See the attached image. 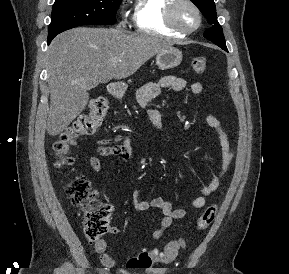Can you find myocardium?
<instances>
[{"instance_id":"myocardium-1","label":"myocardium","mask_w":289,"mask_h":274,"mask_svg":"<svg viewBox=\"0 0 289 274\" xmlns=\"http://www.w3.org/2000/svg\"><path fill=\"white\" fill-rule=\"evenodd\" d=\"M180 4H187L194 10L197 16L196 25L190 28H184L177 23L175 19V10L177 6ZM202 21H203L202 12L200 8L198 7V5L193 0H171V2L166 7V10H165L166 25L168 26V28H170L174 32H177L181 35H190L194 33L195 31H197L201 27Z\"/></svg>"}]
</instances>
